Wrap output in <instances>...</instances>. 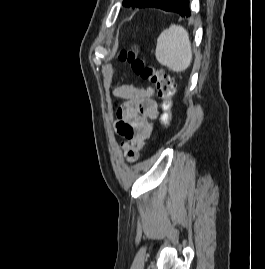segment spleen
Listing matches in <instances>:
<instances>
[{
  "instance_id": "1",
  "label": "spleen",
  "mask_w": 265,
  "mask_h": 269,
  "mask_svg": "<svg viewBox=\"0 0 265 269\" xmlns=\"http://www.w3.org/2000/svg\"><path fill=\"white\" fill-rule=\"evenodd\" d=\"M158 62L174 72L185 71L192 62L189 34L180 25L172 24L157 39L155 52Z\"/></svg>"
}]
</instances>
